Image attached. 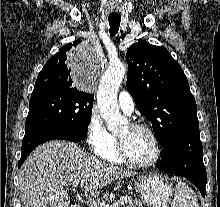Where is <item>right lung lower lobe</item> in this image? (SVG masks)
Segmentation results:
<instances>
[{"label": "right lung lower lobe", "mask_w": 220, "mask_h": 207, "mask_svg": "<svg viewBox=\"0 0 220 207\" xmlns=\"http://www.w3.org/2000/svg\"><path fill=\"white\" fill-rule=\"evenodd\" d=\"M87 131L84 129L60 127H35L25 132L22 142V153L18 167L22 165L29 153L39 144L49 140H68L78 142L84 139Z\"/></svg>", "instance_id": "obj_1"}]
</instances>
